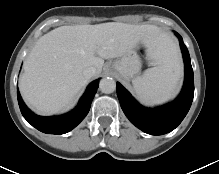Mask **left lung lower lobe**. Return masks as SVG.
I'll return each mask as SVG.
<instances>
[{
  "label": "left lung lower lobe",
  "instance_id": "obj_1",
  "mask_svg": "<svg viewBox=\"0 0 219 174\" xmlns=\"http://www.w3.org/2000/svg\"><path fill=\"white\" fill-rule=\"evenodd\" d=\"M180 46L185 63V81L179 97L172 103L148 109L141 106L131 94L117 83V96L127 118L140 130L151 135H162L174 130L188 113L194 96L193 69L190 56L179 34Z\"/></svg>",
  "mask_w": 219,
  "mask_h": 174
}]
</instances>
